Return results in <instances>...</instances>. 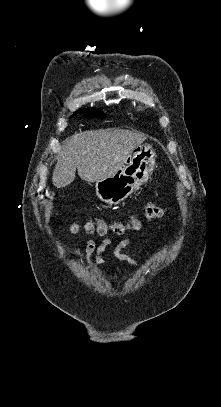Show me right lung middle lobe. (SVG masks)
I'll return each mask as SVG.
<instances>
[{"label": "right lung middle lobe", "instance_id": "1", "mask_svg": "<svg viewBox=\"0 0 221 407\" xmlns=\"http://www.w3.org/2000/svg\"><path fill=\"white\" fill-rule=\"evenodd\" d=\"M78 113H82V114H84L86 116H91V117H94V118H98V117L103 118V117L106 116L102 111H100V110H98L96 108H92V109H79L71 117H73L74 115H76Z\"/></svg>", "mask_w": 221, "mask_h": 407}]
</instances>
